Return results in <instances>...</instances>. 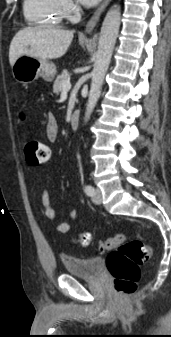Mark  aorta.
<instances>
[{
    "mask_svg": "<svg viewBox=\"0 0 171 337\" xmlns=\"http://www.w3.org/2000/svg\"><path fill=\"white\" fill-rule=\"evenodd\" d=\"M121 10L119 5H114L106 14L103 21L98 42V50L94 67L91 73V86L86 105L85 122H87L100 97L104 77L110 65L112 53L119 32Z\"/></svg>",
    "mask_w": 171,
    "mask_h": 337,
    "instance_id": "762f6f07",
    "label": "aorta"
}]
</instances>
